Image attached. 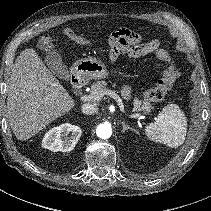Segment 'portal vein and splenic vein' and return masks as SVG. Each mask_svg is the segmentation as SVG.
Returning a JSON list of instances; mask_svg holds the SVG:
<instances>
[{
	"instance_id": "1",
	"label": "portal vein and splenic vein",
	"mask_w": 211,
	"mask_h": 211,
	"mask_svg": "<svg viewBox=\"0 0 211 211\" xmlns=\"http://www.w3.org/2000/svg\"><path fill=\"white\" fill-rule=\"evenodd\" d=\"M107 95H110L114 100H116L118 105H119V108H120L121 112L126 114V112L124 110V105H123L122 100L120 99V97L115 92H113L111 90L107 92ZM80 99L82 101H92V100L95 99V97L94 96H90V95H88V96L85 95V96H81ZM128 117L129 118H134V119L141 118L139 114H131V115H128Z\"/></svg>"
}]
</instances>
